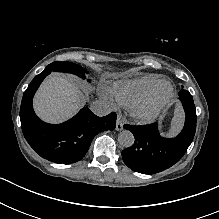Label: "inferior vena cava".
<instances>
[{
  "mask_svg": "<svg viewBox=\"0 0 219 219\" xmlns=\"http://www.w3.org/2000/svg\"><path fill=\"white\" fill-rule=\"evenodd\" d=\"M90 110L97 116H106L111 112V108L106 101L96 100L90 105Z\"/></svg>",
  "mask_w": 219,
  "mask_h": 219,
  "instance_id": "1",
  "label": "inferior vena cava"
}]
</instances>
